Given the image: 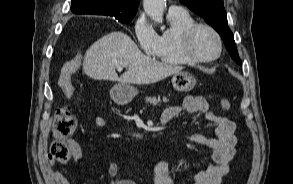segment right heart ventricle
<instances>
[{"mask_svg": "<svg viewBox=\"0 0 293 184\" xmlns=\"http://www.w3.org/2000/svg\"><path fill=\"white\" fill-rule=\"evenodd\" d=\"M167 19L169 28L161 35H158V43L153 56L167 64H188L190 63L183 57L179 49V39L182 32L195 23L189 13H168Z\"/></svg>", "mask_w": 293, "mask_h": 184, "instance_id": "1", "label": "right heart ventricle"}]
</instances>
